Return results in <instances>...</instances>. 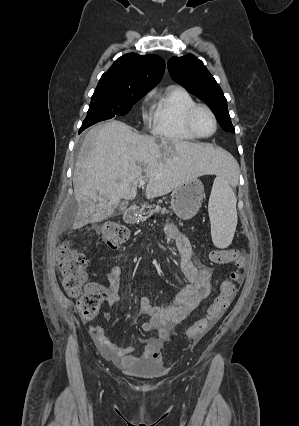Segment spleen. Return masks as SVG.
I'll return each instance as SVG.
<instances>
[{
    "mask_svg": "<svg viewBox=\"0 0 299 426\" xmlns=\"http://www.w3.org/2000/svg\"><path fill=\"white\" fill-rule=\"evenodd\" d=\"M236 203L229 178L226 174H219L214 180L208 203L211 237L217 248H227L233 240L237 226Z\"/></svg>",
    "mask_w": 299,
    "mask_h": 426,
    "instance_id": "1",
    "label": "spleen"
}]
</instances>
